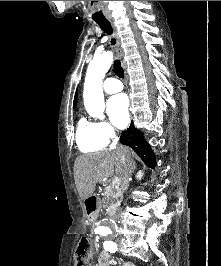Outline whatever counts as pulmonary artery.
Listing matches in <instances>:
<instances>
[{
  "label": "pulmonary artery",
  "instance_id": "e3ab8cb5",
  "mask_svg": "<svg viewBox=\"0 0 221 266\" xmlns=\"http://www.w3.org/2000/svg\"><path fill=\"white\" fill-rule=\"evenodd\" d=\"M103 89L108 94H114L123 89L122 83L115 78H107L103 83Z\"/></svg>",
  "mask_w": 221,
  "mask_h": 266
}]
</instances>
